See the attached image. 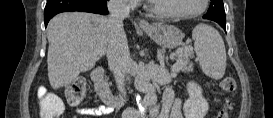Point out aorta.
<instances>
[{"label":"aorta","instance_id":"762f6f07","mask_svg":"<svg viewBox=\"0 0 273 118\" xmlns=\"http://www.w3.org/2000/svg\"><path fill=\"white\" fill-rule=\"evenodd\" d=\"M136 100H137V104H138L139 110L143 111L144 107H143V103H142L141 97L139 95H137Z\"/></svg>","mask_w":273,"mask_h":118}]
</instances>
